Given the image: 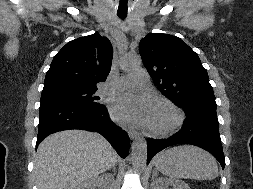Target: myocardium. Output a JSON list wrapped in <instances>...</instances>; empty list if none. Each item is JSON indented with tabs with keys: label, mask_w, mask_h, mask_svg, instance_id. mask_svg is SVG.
<instances>
[{
	"label": "myocardium",
	"mask_w": 253,
	"mask_h": 189,
	"mask_svg": "<svg viewBox=\"0 0 253 189\" xmlns=\"http://www.w3.org/2000/svg\"><path fill=\"white\" fill-rule=\"evenodd\" d=\"M155 107H165L172 112V121L164 127H154L149 125L150 134L156 137H165L176 132L184 122V113L180 107L168 99H158L155 102Z\"/></svg>",
	"instance_id": "1"
}]
</instances>
